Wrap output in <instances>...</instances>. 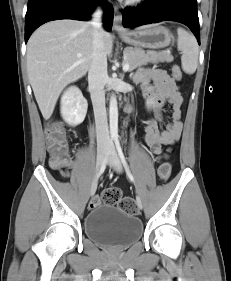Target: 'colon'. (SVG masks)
<instances>
[{
    "label": "colon",
    "instance_id": "colon-1",
    "mask_svg": "<svg viewBox=\"0 0 231 281\" xmlns=\"http://www.w3.org/2000/svg\"><path fill=\"white\" fill-rule=\"evenodd\" d=\"M172 76L175 80H181L182 72L179 66L172 67ZM47 148L50 153L51 167L64 170L70 162L68 142L66 139L65 129L61 122H53L46 127ZM158 177L161 181L166 182L171 175V166L163 163L158 168ZM115 205L125 213L134 215L138 212L135 201L132 198H122L121 191L118 188L111 187L106 189L101 198L95 197L91 201V207H96L101 203Z\"/></svg>",
    "mask_w": 231,
    "mask_h": 281
}]
</instances>
